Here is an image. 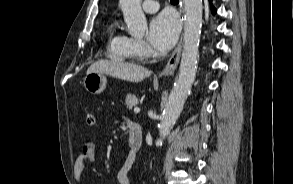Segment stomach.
I'll return each instance as SVG.
<instances>
[{"label": "stomach", "instance_id": "1", "mask_svg": "<svg viewBox=\"0 0 293 184\" xmlns=\"http://www.w3.org/2000/svg\"><path fill=\"white\" fill-rule=\"evenodd\" d=\"M85 89L91 94H100L107 85L106 76L103 73H88L83 81Z\"/></svg>", "mask_w": 293, "mask_h": 184}]
</instances>
